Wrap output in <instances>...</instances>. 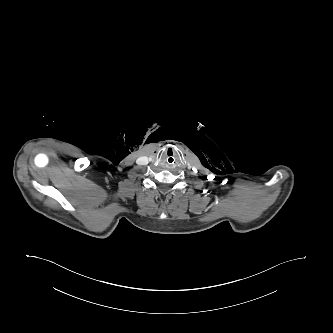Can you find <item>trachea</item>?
Wrapping results in <instances>:
<instances>
[{
  "label": "trachea",
  "instance_id": "obj_1",
  "mask_svg": "<svg viewBox=\"0 0 333 333\" xmlns=\"http://www.w3.org/2000/svg\"><path fill=\"white\" fill-rule=\"evenodd\" d=\"M164 160H165V162L168 163V164H173V163H175L176 160H177V155H176V153L173 152V151H168V152H166L165 155H164Z\"/></svg>",
  "mask_w": 333,
  "mask_h": 333
}]
</instances>
